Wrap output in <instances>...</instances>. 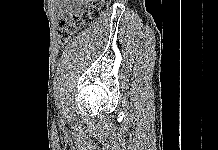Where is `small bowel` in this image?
Returning <instances> with one entry per match:
<instances>
[{
	"label": "small bowel",
	"instance_id": "1",
	"mask_svg": "<svg viewBox=\"0 0 218 150\" xmlns=\"http://www.w3.org/2000/svg\"><path fill=\"white\" fill-rule=\"evenodd\" d=\"M57 14L60 18H65L73 12H77L80 7L90 2V0H54Z\"/></svg>",
	"mask_w": 218,
	"mask_h": 150
}]
</instances>
